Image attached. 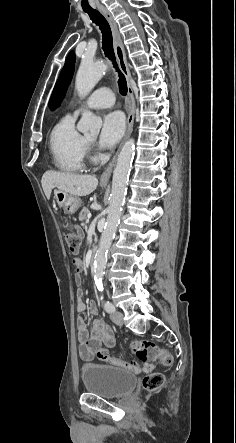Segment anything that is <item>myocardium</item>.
<instances>
[{
  "mask_svg": "<svg viewBox=\"0 0 236 443\" xmlns=\"http://www.w3.org/2000/svg\"><path fill=\"white\" fill-rule=\"evenodd\" d=\"M85 142H86V146L90 144V140H88V139H85Z\"/></svg>",
  "mask_w": 236,
  "mask_h": 443,
  "instance_id": "f54148a6",
  "label": "myocardium"
}]
</instances>
